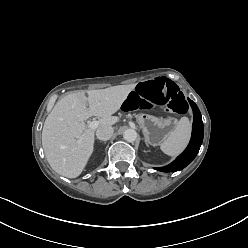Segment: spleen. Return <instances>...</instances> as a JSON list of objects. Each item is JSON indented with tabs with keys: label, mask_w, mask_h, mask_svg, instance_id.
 <instances>
[{
	"label": "spleen",
	"mask_w": 248,
	"mask_h": 248,
	"mask_svg": "<svg viewBox=\"0 0 248 248\" xmlns=\"http://www.w3.org/2000/svg\"><path fill=\"white\" fill-rule=\"evenodd\" d=\"M191 136V124L182 117L168 138L161 144V150L169 156L179 155L187 146Z\"/></svg>",
	"instance_id": "spleen-1"
}]
</instances>
